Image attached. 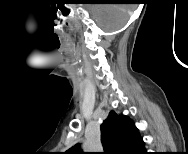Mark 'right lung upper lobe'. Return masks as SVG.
<instances>
[{
  "instance_id": "obj_1",
  "label": "right lung upper lobe",
  "mask_w": 188,
  "mask_h": 154,
  "mask_svg": "<svg viewBox=\"0 0 188 154\" xmlns=\"http://www.w3.org/2000/svg\"><path fill=\"white\" fill-rule=\"evenodd\" d=\"M101 141L106 154H142L145 150L134 122L114 111H110L101 124ZM68 153L82 154L80 145L71 147Z\"/></svg>"
}]
</instances>
